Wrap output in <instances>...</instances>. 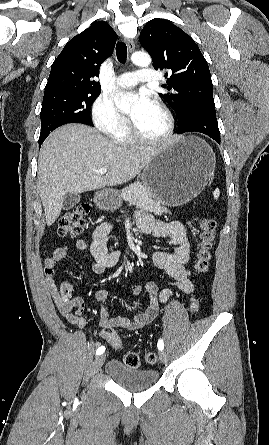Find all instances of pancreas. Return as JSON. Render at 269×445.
Masks as SVG:
<instances>
[{
    "label": "pancreas",
    "mask_w": 269,
    "mask_h": 445,
    "mask_svg": "<svg viewBox=\"0 0 269 445\" xmlns=\"http://www.w3.org/2000/svg\"><path fill=\"white\" fill-rule=\"evenodd\" d=\"M121 197L131 205L152 212L155 215L160 216L169 212V210L162 206L160 201L154 198L153 194L139 182L122 189Z\"/></svg>",
    "instance_id": "1"
}]
</instances>
